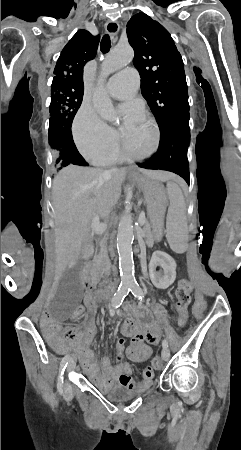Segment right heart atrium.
I'll return each instance as SVG.
<instances>
[{"label":"right heart atrium","instance_id":"d8ad5b80","mask_svg":"<svg viewBox=\"0 0 241 450\" xmlns=\"http://www.w3.org/2000/svg\"><path fill=\"white\" fill-rule=\"evenodd\" d=\"M72 132L78 152L87 160H103L115 150L111 128L88 104L79 107L72 122Z\"/></svg>","mask_w":241,"mask_h":450}]
</instances>
